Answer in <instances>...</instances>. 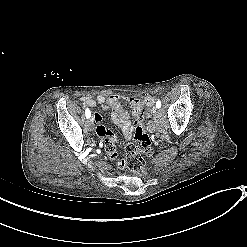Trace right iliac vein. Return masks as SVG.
<instances>
[{"instance_id":"right-iliac-vein-1","label":"right iliac vein","mask_w":247,"mask_h":247,"mask_svg":"<svg viewBox=\"0 0 247 247\" xmlns=\"http://www.w3.org/2000/svg\"><path fill=\"white\" fill-rule=\"evenodd\" d=\"M90 121L93 122V117H91Z\"/></svg>"}]
</instances>
